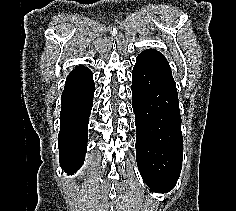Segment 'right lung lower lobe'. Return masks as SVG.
I'll list each match as a JSON object with an SVG mask.
<instances>
[{
	"instance_id": "98d812e1",
	"label": "right lung lower lobe",
	"mask_w": 236,
	"mask_h": 211,
	"mask_svg": "<svg viewBox=\"0 0 236 211\" xmlns=\"http://www.w3.org/2000/svg\"><path fill=\"white\" fill-rule=\"evenodd\" d=\"M92 77L86 67L72 71L61 96L59 159L68 174L81 167L87 150L88 122L95 91Z\"/></svg>"
}]
</instances>
